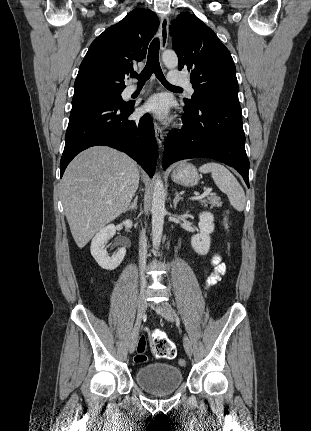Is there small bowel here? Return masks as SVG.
Listing matches in <instances>:
<instances>
[{"mask_svg": "<svg viewBox=\"0 0 311 431\" xmlns=\"http://www.w3.org/2000/svg\"><path fill=\"white\" fill-rule=\"evenodd\" d=\"M212 266H213V270L209 273L208 277H207V285H213L215 283H217L221 276L225 273L226 267L224 265V263H222L221 261V257L219 255H215L212 258ZM157 336H165L164 333H162L161 331H155L152 334V338H156Z\"/></svg>", "mask_w": 311, "mask_h": 431, "instance_id": "1", "label": "small bowel"}]
</instances>
